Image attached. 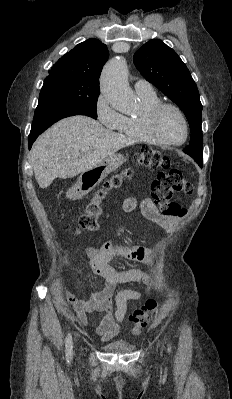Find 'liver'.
I'll return each instance as SVG.
<instances>
[{"label": "liver", "mask_w": 232, "mask_h": 399, "mask_svg": "<svg viewBox=\"0 0 232 399\" xmlns=\"http://www.w3.org/2000/svg\"><path fill=\"white\" fill-rule=\"evenodd\" d=\"M132 144L135 142L131 138L107 130L86 116L65 118L39 136L32 146L35 180L40 188H48L55 178H74ZM81 148L89 150L82 154Z\"/></svg>", "instance_id": "6515ba94"}]
</instances>
